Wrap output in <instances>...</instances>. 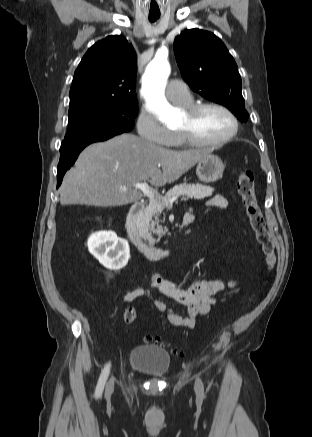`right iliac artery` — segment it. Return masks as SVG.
<instances>
[{
  "label": "right iliac artery",
  "mask_w": 312,
  "mask_h": 437,
  "mask_svg": "<svg viewBox=\"0 0 312 437\" xmlns=\"http://www.w3.org/2000/svg\"><path fill=\"white\" fill-rule=\"evenodd\" d=\"M110 366H111L110 363H108L104 367V369L102 371V374H101V376L99 378V381H98V384H97V387H96V391H95V397L96 398L100 397L102 392H103L104 385L106 383V380H107L109 372H110Z\"/></svg>",
  "instance_id": "1"
}]
</instances>
